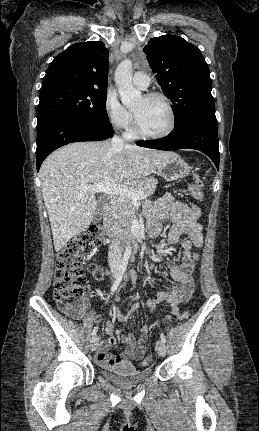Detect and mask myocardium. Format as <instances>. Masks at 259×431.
I'll use <instances>...</instances> for the list:
<instances>
[{"instance_id": "f54148a6", "label": "myocardium", "mask_w": 259, "mask_h": 431, "mask_svg": "<svg viewBox=\"0 0 259 431\" xmlns=\"http://www.w3.org/2000/svg\"><path fill=\"white\" fill-rule=\"evenodd\" d=\"M145 99H160L164 102V104L166 105V108L168 110L169 113V124L167 126V128L157 134H151V133H147L145 132L139 125L138 120L135 116V114L133 113V131L135 132V134L141 138H145V139H162L165 138L167 136H169L174 128H175V124H176V116H175V111L173 108V104L170 100V98L168 96H166L163 93L160 92H150L144 95Z\"/></svg>"}]
</instances>
